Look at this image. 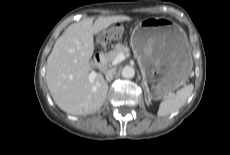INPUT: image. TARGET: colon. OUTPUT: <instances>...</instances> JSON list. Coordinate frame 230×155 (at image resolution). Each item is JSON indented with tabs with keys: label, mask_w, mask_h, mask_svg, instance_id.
<instances>
[{
	"label": "colon",
	"mask_w": 230,
	"mask_h": 155,
	"mask_svg": "<svg viewBox=\"0 0 230 155\" xmlns=\"http://www.w3.org/2000/svg\"><path fill=\"white\" fill-rule=\"evenodd\" d=\"M125 33V27L122 23L117 22L108 28V34L102 33L99 35V44L107 46L110 42L119 41Z\"/></svg>",
	"instance_id": "1"
}]
</instances>
